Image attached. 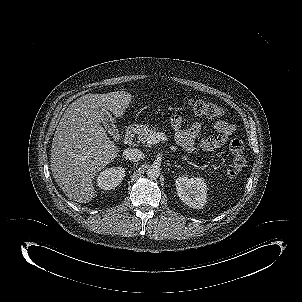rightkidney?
<instances>
[{
	"mask_svg": "<svg viewBox=\"0 0 302 302\" xmlns=\"http://www.w3.org/2000/svg\"><path fill=\"white\" fill-rule=\"evenodd\" d=\"M124 176L125 170L122 167L103 171L97 177V185L103 190H111L121 183Z\"/></svg>",
	"mask_w": 302,
	"mask_h": 302,
	"instance_id": "1",
	"label": "right kidney"
}]
</instances>
